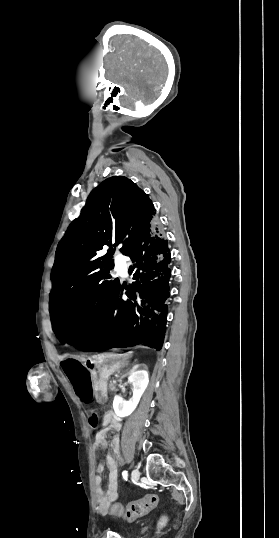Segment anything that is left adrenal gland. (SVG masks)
I'll return each mask as SVG.
<instances>
[{
  "instance_id": "a2214340",
  "label": "left adrenal gland",
  "mask_w": 279,
  "mask_h": 538,
  "mask_svg": "<svg viewBox=\"0 0 279 538\" xmlns=\"http://www.w3.org/2000/svg\"><path fill=\"white\" fill-rule=\"evenodd\" d=\"M129 374V372H127ZM126 374H122L121 378H125Z\"/></svg>"
}]
</instances>
